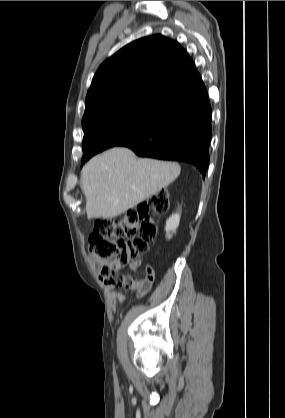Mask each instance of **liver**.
Instances as JSON below:
<instances>
[{
    "label": "liver",
    "mask_w": 285,
    "mask_h": 418,
    "mask_svg": "<svg viewBox=\"0 0 285 418\" xmlns=\"http://www.w3.org/2000/svg\"><path fill=\"white\" fill-rule=\"evenodd\" d=\"M180 171L175 162L139 159L128 148L115 147L94 156L81 172L87 217L121 215L168 186Z\"/></svg>",
    "instance_id": "1"
}]
</instances>
